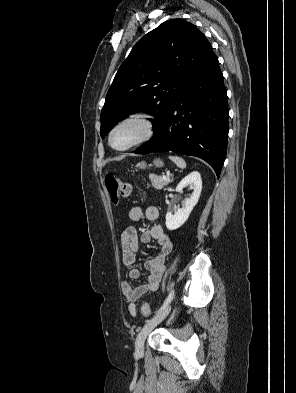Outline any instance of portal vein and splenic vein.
<instances>
[{"label":"portal vein and splenic vein","instance_id":"portal-vein-and-splenic-vein-1","mask_svg":"<svg viewBox=\"0 0 296 393\" xmlns=\"http://www.w3.org/2000/svg\"><path fill=\"white\" fill-rule=\"evenodd\" d=\"M162 179H163V180H166V181H169V177H167V176H165V175L162 176Z\"/></svg>","mask_w":296,"mask_h":393}]
</instances>
